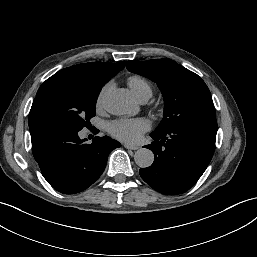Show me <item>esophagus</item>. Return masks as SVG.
<instances>
[{
  "label": "esophagus",
  "instance_id": "esophagus-1",
  "mask_svg": "<svg viewBox=\"0 0 257 257\" xmlns=\"http://www.w3.org/2000/svg\"><path fill=\"white\" fill-rule=\"evenodd\" d=\"M124 147L126 149H130V150H137L139 149V146H136V145H129V144H124Z\"/></svg>",
  "mask_w": 257,
  "mask_h": 257
}]
</instances>
